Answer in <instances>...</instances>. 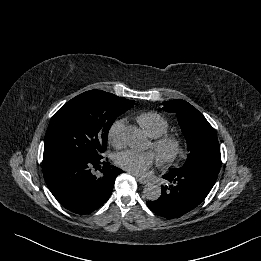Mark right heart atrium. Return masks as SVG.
Here are the masks:
<instances>
[{
    "mask_svg": "<svg viewBox=\"0 0 261 261\" xmlns=\"http://www.w3.org/2000/svg\"><path fill=\"white\" fill-rule=\"evenodd\" d=\"M107 140L112 146L119 148L123 145V121L117 119L107 130Z\"/></svg>",
    "mask_w": 261,
    "mask_h": 261,
    "instance_id": "1",
    "label": "right heart atrium"
}]
</instances>
